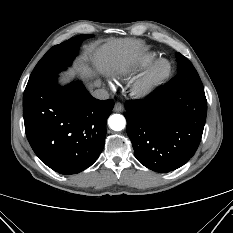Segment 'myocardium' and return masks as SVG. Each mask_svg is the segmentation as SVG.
I'll list each match as a JSON object with an SVG mask.
<instances>
[{"label": "myocardium", "mask_w": 233, "mask_h": 233, "mask_svg": "<svg viewBox=\"0 0 233 233\" xmlns=\"http://www.w3.org/2000/svg\"><path fill=\"white\" fill-rule=\"evenodd\" d=\"M171 72V63L167 59H160L149 76L134 84L133 94L137 97H145L149 95L170 76Z\"/></svg>", "instance_id": "1"}]
</instances>
